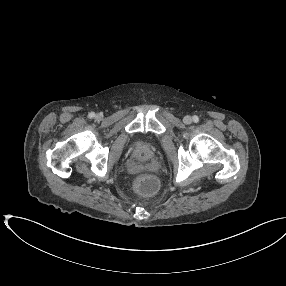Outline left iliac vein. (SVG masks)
<instances>
[{"label":"left iliac vein","instance_id":"1","mask_svg":"<svg viewBox=\"0 0 286 286\" xmlns=\"http://www.w3.org/2000/svg\"><path fill=\"white\" fill-rule=\"evenodd\" d=\"M184 123L190 124L192 122L191 116L187 115L183 118Z\"/></svg>","mask_w":286,"mask_h":286}]
</instances>
